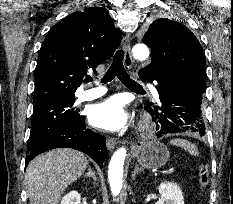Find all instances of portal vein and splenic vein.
Returning a JSON list of instances; mask_svg holds the SVG:
<instances>
[{
  "mask_svg": "<svg viewBox=\"0 0 233 204\" xmlns=\"http://www.w3.org/2000/svg\"><path fill=\"white\" fill-rule=\"evenodd\" d=\"M174 169L173 168H171V169H169V172H172Z\"/></svg>",
  "mask_w": 233,
  "mask_h": 204,
  "instance_id": "portal-vein-and-splenic-vein-1",
  "label": "portal vein and splenic vein"
}]
</instances>
